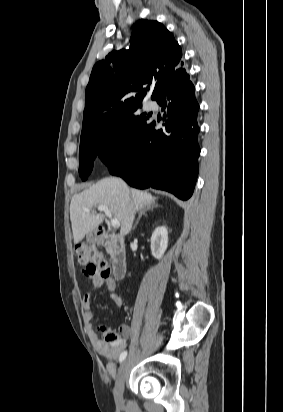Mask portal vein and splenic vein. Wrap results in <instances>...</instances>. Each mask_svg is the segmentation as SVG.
Listing matches in <instances>:
<instances>
[{
  "instance_id": "obj_1",
  "label": "portal vein and splenic vein",
  "mask_w": 283,
  "mask_h": 412,
  "mask_svg": "<svg viewBox=\"0 0 283 412\" xmlns=\"http://www.w3.org/2000/svg\"><path fill=\"white\" fill-rule=\"evenodd\" d=\"M97 209H98V211L105 213V215L110 219V224H111L112 227H114V228H119L120 227V222L117 219L112 218V214L109 211L108 207L98 206ZM84 212L90 213V210L87 209V208H84Z\"/></svg>"
}]
</instances>
